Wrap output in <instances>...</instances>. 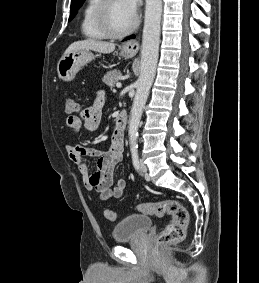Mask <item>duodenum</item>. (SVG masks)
<instances>
[{
	"label": "duodenum",
	"instance_id": "410a0bca",
	"mask_svg": "<svg viewBox=\"0 0 259 283\" xmlns=\"http://www.w3.org/2000/svg\"><path fill=\"white\" fill-rule=\"evenodd\" d=\"M127 121H128L127 114L124 112H121L115 121V131L117 133L122 134L126 129Z\"/></svg>",
	"mask_w": 259,
	"mask_h": 283
}]
</instances>
